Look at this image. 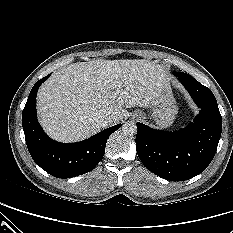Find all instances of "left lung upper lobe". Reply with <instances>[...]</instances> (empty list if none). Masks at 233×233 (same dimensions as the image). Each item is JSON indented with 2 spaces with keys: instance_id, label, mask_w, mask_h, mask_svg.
Instances as JSON below:
<instances>
[{
  "instance_id": "1",
  "label": "left lung upper lobe",
  "mask_w": 233,
  "mask_h": 233,
  "mask_svg": "<svg viewBox=\"0 0 233 233\" xmlns=\"http://www.w3.org/2000/svg\"><path fill=\"white\" fill-rule=\"evenodd\" d=\"M173 74L176 76V75H187L186 73H183V72H173Z\"/></svg>"
}]
</instances>
